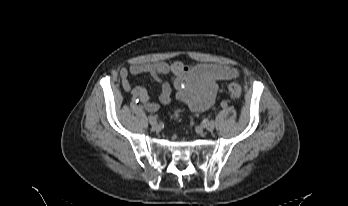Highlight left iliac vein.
Masks as SVG:
<instances>
[{
    "label": "left iliac vein",
    "mask_w": 348,
    "mask_h": 206,
    "mask_svg": "<svg viewBox=\"0 0 348 206\" xmlns=\"http://www.w3.org/2000/svg\"><path fill=\"white\" fill-rule=\"evenodd\" d=\"M215 128V122L214 121H209L206 125V130L208 131H213Z\"/></svg>",
    "instance_id": "4c4485c4"
}]
</instances>
